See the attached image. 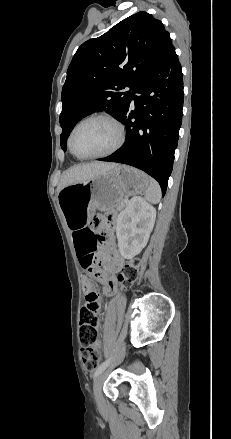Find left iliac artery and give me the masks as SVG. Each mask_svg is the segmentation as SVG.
<instances>
[{
  "mask_svg": "<svg viewBox=\"0 0 231 439\" xmlns=\"http://www.w3.org/2000/svg\"><path fill=\"white\" fill-rule=\"evenodd\" d=\"M110 362H111V358H109L108 360H106L105 362H103L97 369H96V371H95V373H94V379L102 372V371H104L107 367H108V365L110 364Z\"/></svg>",
  "mask_w": 231,
  "mask_h": 439,
  "instance_id": "obj_1",
  "label": "left iliac artery"
}]
</instances>
